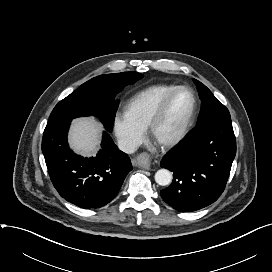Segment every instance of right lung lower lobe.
Here are the masks:
<instances>
[{"label":"right lung lower lobe","instance_id":"right-lung-lower-lobe-1","mask_svg":"<svg viewBox=\"0 0 272 272\" xmlns=\"http://www.w3.org/2000/svg\"><path fill=\"white\" fill-rule=\"evenodd\" d=\"M71 120L47 125L42 139L51 181L59 194L81 208H99L119 192L132 164L120 151L108 132L103 133L101 149L96 157L76 155L67 144Z\"/></svg>","mask_w":272,"mask_h":272}]
</instances>
